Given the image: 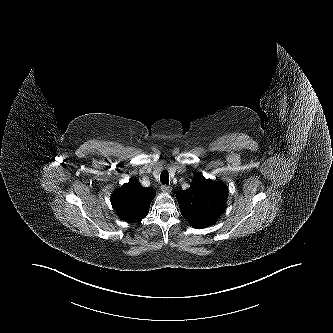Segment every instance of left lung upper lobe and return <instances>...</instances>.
<instances>
[{
	"label": "left lung upper lobe",
	"mask_w": 333,
	"mask_h": 333,
	"mask_svg": "<svg viewBox=\"0 0 333 333\" xmlns=\"http://www.w3.org/2000/svg\"><path fill=\"white\" fill-rule=\"evenodd\" d=\"M228 187L198 175L190 188L176 194L182 216L194 228H205L216 222L224 212Z\"/></svg>",
	"instance_id": "obj_1"
}]
</instances>
